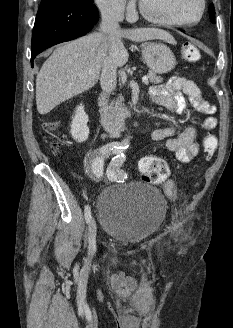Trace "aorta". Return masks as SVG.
<instances>
[{
    "label": "aorta",
    "instance_id": "obj_1",
    "mask_svg": "<svg viewBox=\"0 0 233 328\" xmlns=\"http://www.w3.org/2000/svg\"><path fill=\"white\" fill-rule=\"evenodd\" d=\"M130 142V137H126L124 140H123V144L124 145H128Z\"/></svg>",
    "mask_w": 233,
    "mask_h": 328
}]
</instances>
